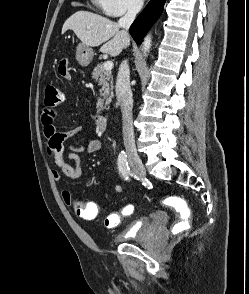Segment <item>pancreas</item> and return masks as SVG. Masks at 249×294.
<instances>
[{
  "mask_svg": "<svg viewBox=\"0 0 249 294\" xmlns=\"http://www.w3.org/2000/svg\"><path fill=\"white\" fill-rule=\"evenodd\" d=\"M92 78L101 86L100 97L97 102V111L104 110L111 102L113 97V77L110 70H105L100 63L94 68Z\"/></svg>",
  "mask_w": 249,
  "mask_h": 294,
  "instance_id": "obj_1",
  "label": "pancreas"
}]
</instances>
